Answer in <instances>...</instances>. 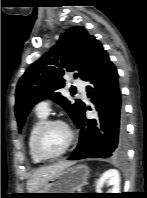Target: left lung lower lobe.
Wrapping results in <instances>:
<instances>
[{
    "instance_id": "0a47b994",
    "label": "left lung lower lobe",
    "mask_w": 147,
    "mask_h": 198,
    "mask_svg": "<svg viewBox=\"0 0 147 198\" xmlns=\"http://www.w3.org/2000/svg\"><path fill=\"white\" fill-rule=\"evenodd\" d=\"M85 81L91 84L87 92L97 116L87 119L81 109L76 122L80 128L79 143L68 160L123 157L126 129L118 73L98 40L92 45Z\"/></svg>"
}]
</instances>
